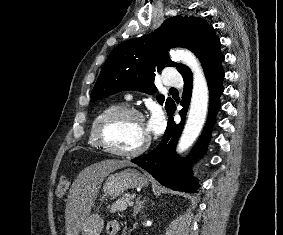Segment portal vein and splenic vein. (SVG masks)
<instances>
[{"label": "portal vein and splenic vein", "mask_w": 283, "mask_h": 235, "mask_svg": "<svg viewBox=\"0 0 283 235\" xmlns=\"http://www.w3.org/2000/svg\"><path fill=\"white\" fill-rule=\"evenodd\" d=\"M134 198V197H133ZM129 206H132L133 205V202L131 201V202H129V204H128Z\"/></svg>", "instance_id": "obj_1"}]
</instances>
